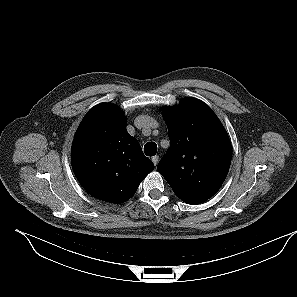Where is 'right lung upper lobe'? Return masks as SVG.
Segmentation results:
<instances>
[{
	"instance_id": "cb5924a9",
	"label": "right lung upper lobe",
	"mask_w": 297,
	"mask_h": 297,
	"mask_svg": "<svg viewBox=\"0 0 297 297\" xmlns=\"http://www.w3.org/2000/svg\"><path fill=\"white\" fill-rule=\"evenodd\" d=\"M71 164L93 197L123 203L154 169L139 142L126 130L124 113L114 104L94 106L81 121L71 148Z\"/></svg>"
}]
</instances>
